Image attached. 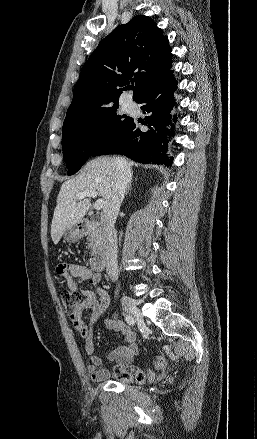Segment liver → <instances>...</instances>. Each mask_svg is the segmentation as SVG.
I'll return each mask as SVG.
<instances>
[{"instance_id": "1", "label": "liver", "mask_w": 257, "mask_h": 439, "mask_svg": "<svg viewBox=\"0 0 257 439\" xmlns=\"http://www.w3.org/2000/svg\"><path fill=\"white\" fill-rule=\"evenodd\" d=\"M129 167L133 165L128 162ZM116 177V158L98 157L86 163L79 175L65 181L59 191L54 210L51 237L58 244L64 232L78 224L87 213L91 201L83 198L77 202V195L87 190H95L104 200L108 199Z\"/></svg>"}]
</instances>
